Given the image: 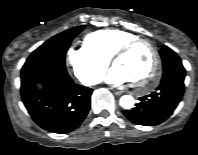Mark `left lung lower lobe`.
Masks as SVG:
<instances>
[{
  "mask_svg": "<svg viewBox=\"0 0 198 155\" xmlns=\"http://www.w3.org/2000/svg\"><path fill=\"white\" fill-rule=\"evenodd\" d=\"M185 69H175L163 75L160 85L148 96L140 97L136 107L123 111L133 123L144 126L158 125L168 119L184 93ZM143 114H149L145 117Z\"/></svg>",
  "mask_w": 198,
  "mask_h": 155,
  "instance_id": "1",
  "label": "left lung lower lobe"
}]
</instances>
